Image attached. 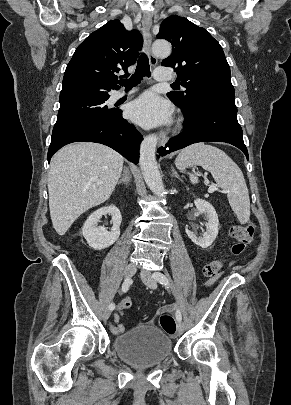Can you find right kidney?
<instances>
[{
    "label": "right kidney",
    "mask_w": 291,
    "mask_h": 405,
    "mask_svg": "<svg viewBox=\"0 0 291 405\" xmlns=\"http://www.w3.org/2000/svg\"><path fill=\"white\" fill-rule=\"evenodd\" d=\"M106 214L112 216L113 226L110 232L103 226L97 225L102 216ZM121 222V212L116 206L102 207L88 217L83 225L82 234L91 248L102 250L111 246L119 238Z\"/></svg>",
    "instance_id": "obj_1"
}]
</instances>
